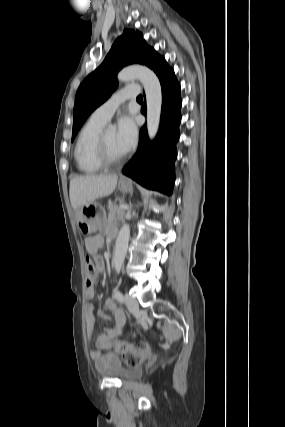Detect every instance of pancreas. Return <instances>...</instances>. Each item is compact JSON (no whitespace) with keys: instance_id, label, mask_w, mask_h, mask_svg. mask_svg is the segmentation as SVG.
<instances>
[{"instance_id":"1","label":"pancreas","mask_w":285,"mask_h":427,"mask_svg":"<svg viewBox=\"0 0 285 427\" xmlns=\"http://www.w3.org/2000/svg\"><path fill=\"white\" fill-rule=\"evenodd\" d=\"M108 210V218L105 220L106 225L121 220L125 213L124 210L113 203H109Z\"/></svg>"}]
</instances>
